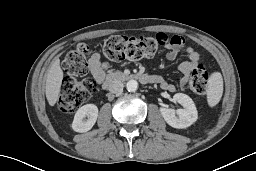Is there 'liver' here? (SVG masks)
<instances>
[{
    "instance_id": "6515ba94",
    "label": "liver",
    "mask_w": 256,
    "mask_h": 171,
    "mask_svg": "<svg viewBox=\"0 0 256 171\" xmlns=\"http://www.w3.org/2000/svg\"><path fill=\"white\" fill-rule=\"evenodd\" d=\"M63 79L60 60L56 58L47 72L45 94L50 106H54L59 98Z\"/></svg>"
}]
</instances>
